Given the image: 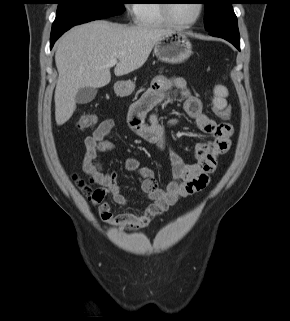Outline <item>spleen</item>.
<instances>
[{
    "instance_id": "1",
    "label": "spleen",
    "mask_w": 290,
    "mask_h": 321,
    "mask_svg": "<svg viewBox=\"0 0 290 321\" xmlns=\"http://www.w3.org/2000/svg\"><path fill=\"white\" fill-rule=\"evenodd\" d=\"M214 95H215L213 100L214 107L217 109H223L226 105L225 97L228 96L227 88L222 85L215 86Z\"/></svg>"
}]
</instances>
